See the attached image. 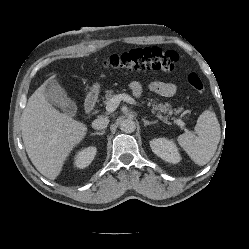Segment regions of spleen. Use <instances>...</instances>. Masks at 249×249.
Here are the masks:
<instances>
[{
	"mask_svg": "<svg viewBox=\"0 0 249 249\" xmlns=\"http://www.w3.org/2000/svg\"><path fill=\"white\" fill-rule=\"evenodd\" d=\"M221 137V130L215 113L205 110L198 118L194 132L178 136L179 145L195 164L203 166L214 156Z\"/></svg>",
	"mask_w": 249,
	"mask_h": 249,
	"instance_id": "1",
	"label": "spleen"
}]
</instances>
